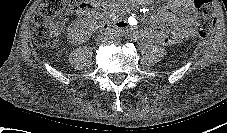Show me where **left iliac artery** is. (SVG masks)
Segmentation results:
<instances>
[{
	"instance_id": "44dca946",
	"label": "left iliac artery",
	"mask_w": 227,
	"mask_h": 133,
	"mask_svg": "<svg viewBox=\"0 0 227 133\" xmlns=\"http://www.w3.org/2000/svg\"><path fill=\"white\" fill-rule=\"evenodd\" d=\"M115 38H116L115 41L119 42V38L117 36Z\"/></svg>"
}]
</instances>
